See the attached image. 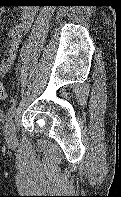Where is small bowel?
I'll return each instance as SVG.
<instances>
[{
    "instance_id": "1",
    "label": "small bowel",
    "mask_w": 121,
    "mask_h": 197,
    "mask_svg": "<svg viewBox=\"0 0 121 197\" xmlns=\"http://www.w3.org/2000/svg\"><path fill=\"white\" fill-rule=\"evenodd\" d=\"M3 11L4 8H0V16ZM19 16V22L9 30L7 35L8 53L3 59H0V77L4 76L14 63L20 40L32 24L33 11L29 8H21Z\"/></svg>"
}]
</instances>
